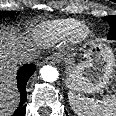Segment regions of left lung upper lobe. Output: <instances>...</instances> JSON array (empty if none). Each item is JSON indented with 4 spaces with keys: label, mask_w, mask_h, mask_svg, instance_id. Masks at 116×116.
I'll list each match as a JSON object with an SVG mask.
<instances>
[{
    "label": "left lung upper lobe",
    "mask_w": 116,
    "mask_h": 116,
    "mask_svg": "<svg viewBox=\"0 0 116 116\" xmlns=\"http://www.w3.org/2000/svg\"><path fill=\"white\" fill-rule=\"evenodd\" d=\"M110 25V32L108 34L109 40H116V16H106L103 17Z\"/></svg>",
    "instance_id": "5c2ea615"
}]
</instances>
